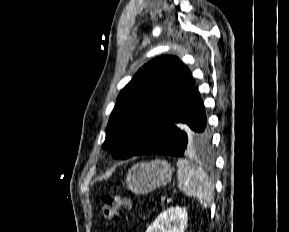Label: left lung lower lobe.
Instances as JSON below:
<instances>
[{
    "instance_id": "1",
    "label": "left lung lower lobe",
    "mask_w": 289,
    "mask_h": 232,
    "mask_svg": "<svg viewBox=\"0 0 289 232\" xmlns=\"http://www.w3.org/2000/svg\"><path fill=\"white\" fill-rule=\"evenodd\" d=\"M210 146L211 135L206 124L204 104L194 87L170 121L132 156L159 154L182 157L205 152Z\"/></svg>"
}]
</instances>
